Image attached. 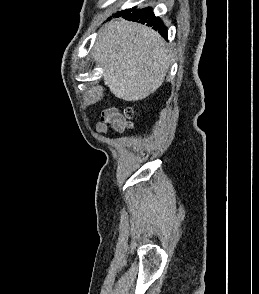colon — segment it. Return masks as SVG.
Listing matches in <instances>:
<instances>
[{
  "instance_id": "colon-1",
  "label": "colon",
  "mask_w": 259,
  "mask_h": 294,
  "mask_svg": "<svg viewBox=\"0 0 259 294\" xmlns=\"http://www.w3.org/2000/svg\"><path fill=\"white\" fill-rule=\"evenodd\" d=\"M125 115H126V118L128 119L129 126H131V120L134 118L135 112L133 111V109L129 108L126 110Z\"/></svg>"
}]
</instances>
